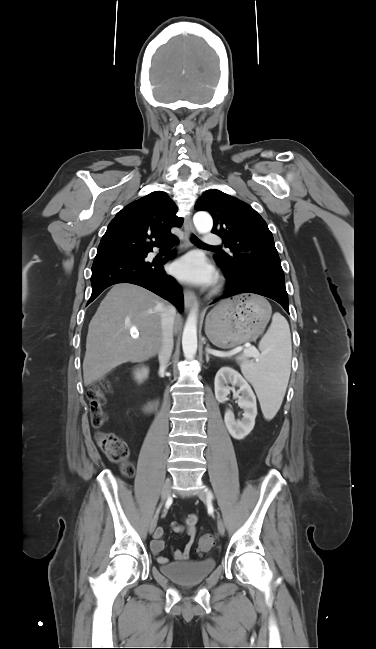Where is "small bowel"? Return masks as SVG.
Returning a JSON list of instances; mask_svg holds the SVG:
<instances>
[{
    "mask_svg": "<svg viewBox=\"0 0 376 649\" xmlns=\"http://www.w3.org/2000/svg\"><path fill=\"white\" fill-rule=\"evenodd\" d=\"M194 518L195 520H193ZM196 524L197 516L195 514L187 515L183 523L172 524V529L175 533L185 535L188 538L183 550L175 549L172 551V556L175 560H187L189 558L191 549L195 542L197 532ZM163 536L164 529L162 527H157L153 535V540L151 541V550L154 554L158 555L157 561L161 564L168 562L166 557L159 555L164 548Z\"/></svg>",
    "mask_w": 376,
    "mask_h": 649,
    "instance_id": "c3829d8e",
    "label": "small bowel"
}]
</instances>
